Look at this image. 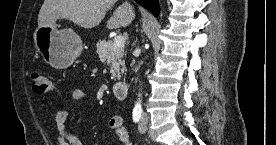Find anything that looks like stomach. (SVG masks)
Listing matches in <instances>:
<instances>
[{
  "instance_id": "0dacf381",
  "label": "stomach",
  "mask_w": 276,
  "mask_h": 145,
  "mask_svg": "<svg viewBox=\"0 0 276 145\" xmlns=\"http://www.w3.org/2000/svg\"><path fill=\"white\" fill-rule=\"evenodd\" d=\"M34 42L44 60L56 69H66L80 56L83 45L72 29L57 28L56 21L38 25Z\"/></svg>"
}]
</instances>
